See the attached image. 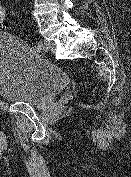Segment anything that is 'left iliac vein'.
<instances>
[{
    "label": "left iliac vein",
    "mask_w": 131,
    "mask_h": 177,
    "mask_svg": "<svg viewBox=\"0 0 131 177\" xmlns=\"http://www.w3.org/2000/svg\"><path fill=\"white\" fill-rule=\"evenodd\" d=\"M44 50L45 51H54L55 50V44L51 41L45 40L44 41Z\"/></svg>",
    "instance_id": "4c4485c4"
}]
</instances>
